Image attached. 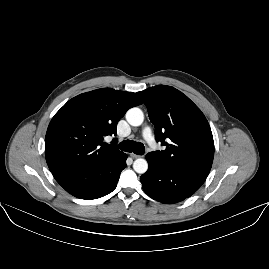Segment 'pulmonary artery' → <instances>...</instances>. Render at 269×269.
I'll list each match as a JSON object with an SVG mask.
<instances>
[{"instance_id":"1","label":"pulmonary artery","mask_w":269,"mask_h":269,"mask_svg":"<svg viewBox=\"0 0 269 269\" xmlns=\"http://www.w3.org/2000/svg\"><path fill=\"white\" fill-rule=\"evenodd\" d=\"M142 136L149 145H152L154 143V134L149 127H145L142 130Z\"/></svg>"}]
</instances>
